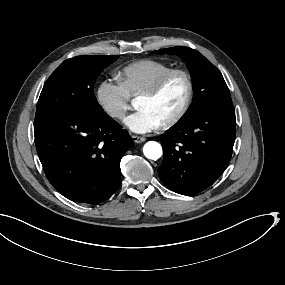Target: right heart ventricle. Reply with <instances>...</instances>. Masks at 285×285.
I'll return each mask as SVG.
<instances>
[{"label":"right heart ventricle","mask_w":285,"mask_h":285,"mask_svg":"<svg viewBox=\"0 0 285 285\" xmlns=\"http://www.w3.org/2000/svg\"><path fill=\"white\" fill-rule=\"evenodd\" d=\"M171 71H173L172 67L157 60L139 61L131 67V75L126 90L133 98H139Z\"/></svg>","instance_id":"1"}]
</instances>
